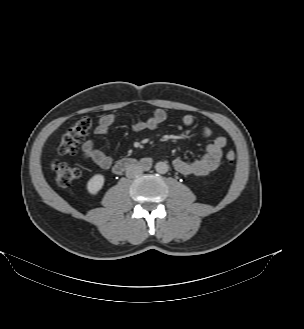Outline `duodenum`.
<instances>
[{"mask_svg": "<svg viewBox=\"0 0 304 329\" xmlns=\"http://www.w3.org/2000/svg\"><path fill=\"white\" fill-rule=\"evenodd\" d=\"M140 164L134 159L131 158H124L119 160L113 168L114 173L121 174L127 170L134 169L136 167H139Z\"/></svg>", "mask_w": 304, "mask_h": 329, "instance_id": "obj_1", "label": "duodenum"}]
</instances>
